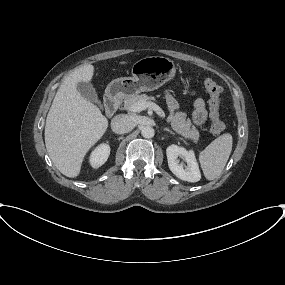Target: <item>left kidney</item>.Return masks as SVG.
Here are the masks:
<instances>
[{"label":"left kidney","instance_id":"5707ae66","mask_svg":"<svg viewBox=\"0 0 285 285\" xmlns=\"http://www.w3.org/2000/svg\"><path fill=\"white\" fill-rule=\"evenodd\" d=\"M166 155L168 166L171 172L183 181L198 182L201 173L193 150H186L184 147L172 144L167 147ZM182 158L187 166L184 167L179 161Z\"/></svg>","mask_w":285,"mask_h":285}]
</instances>
